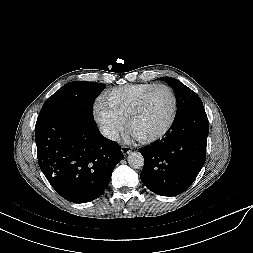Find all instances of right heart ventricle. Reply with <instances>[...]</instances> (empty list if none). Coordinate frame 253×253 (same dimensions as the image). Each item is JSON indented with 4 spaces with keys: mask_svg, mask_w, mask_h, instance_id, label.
<instances>
[{
    "mask_svg": "<svg viewBox=\"0 0 253 253\" xmlns=\"http://www.w3.org/2000/svg\"><path fill=\"white\" fill-rule=\"evenodd\" d=\"M149 83L126 84L112 89L103 101L107 107L123 122H126L129 114L133 110L137 99L142 92L147 89Z\"/></svg>",
    "mask_w": 253,
    "mask_h": 253,
    "instance_id": "right-heart-ventricle-1",
    "label": "right heart ventricle"
}]
</instances>
